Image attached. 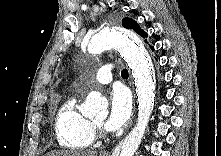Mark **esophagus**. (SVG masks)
I'll return each instance as SVG.
<instances>
[{
  "instance_id": "1",
  "label": "esophagus",
  "mask_w": 221,
  "mask_h": 156,
  "mask_svg": "<svg viewBox=\"0 0 221 156\" xmlns=\"http://www.w3.org/2000/svg\"><path fill=\"white\" fill-rule=\"evenodd\" d=\"M100 156H110L109 152L104 151Z\"/></svg>"
}]
</instances>
